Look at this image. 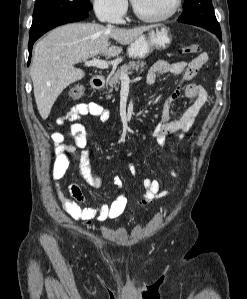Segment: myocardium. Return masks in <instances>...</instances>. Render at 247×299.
<instances>
[{"instance_id":"f54148a6","label":"myocardium","mask_w":247,"mask_h":299,"mask_svg":"<svg viewBox=\"0 0 247 299\" xmlns=\"http://www.w3.org/2000/svg\"><path fill=\"white\" fill-rule=\"evenodd\" d=\"M181 2H182V0H173L170 9L167 12L160 14V15H155V16H150V15H146V14L142 13L136 7L133 0H131V5H132L133 13L135 14V16L137 18H139L140 20L145 21V22L156 23V22H162V21H165V20L171 18L180 8Z\"/></svg>"}]
</instances>
